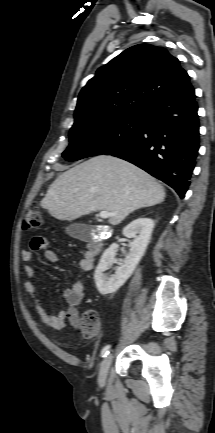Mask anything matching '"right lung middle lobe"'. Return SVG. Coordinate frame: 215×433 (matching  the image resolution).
<instances>
[{
    "instance_id": "1",
    "label": "right lung middle lobe",
    "mask_w": 215,
    "mask_h": 433,
    "mask_svg": "<svg viewBox=\"0 0 215 433\" xmlns=\"http://www.w3.org/2000/svg\"><path fill=\"white\" fill-rule=\"evenodd\" d=\"M142 121L143 115H126L76 123L70 129V144L62 156L67 161H76L106 154L134 140L141 130Z\"/></svg>"
}]
</instances>
